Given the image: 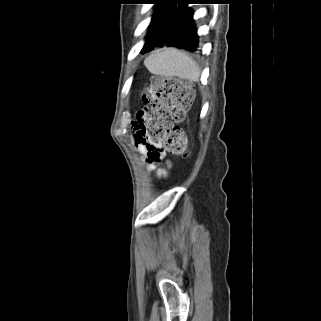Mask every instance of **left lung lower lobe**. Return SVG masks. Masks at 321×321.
I'll use <instances>...</instances> for the list:
<instances>
[{
    "label": "left lung lower lobe",
    "instance_id": "1",
    "mask_svg": "<svg viewBox=\"0 0 321 321\" xmlns=\"http://www.w3.org/2000/svg\"><path fill=\"white\" fill-rule=\"evenodd\" d=\"M198 0H181L168 21L163 37L142 49V53L151 51L154 47L175 46L189 51L198 50V35L193 20V12L187 6Z\"/></svg>",
    "mask_w": 321,
    "mask_h": 321
}]
</instances>
